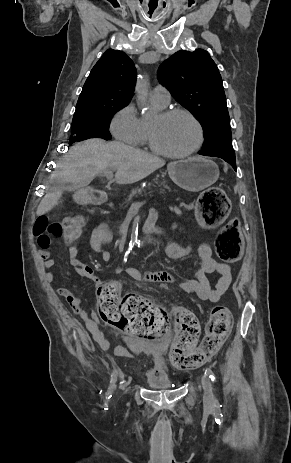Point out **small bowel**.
Returning <instances> with one entry per match:
<instances>
[{
  "label": "small bowel",
  "mask_w": 291,
  "mask_h": 463,
  "mask_svg": "<svg viewBox=\"0 0 291 463\" xmlns=\"http://www.w3.org/2000/svg\"><path fill=\"white\" fill-rule=\"evenodd\" d=\"M153 218V215L149 217V219ZM143 232H150L148 237L155 238L149 239V244H161V247L165 248L164 250L166 254L173 259H181L187 256L193 248L191 238H189L183 244H168L169 240L166 238L167 234L165 232H159V229L156 226H152L150 229L144 228ZM75 240L76 239L67 240V243L69 244L70 264L79 276L93 281L97 286L99 284V278L90 265L84 263L78 258V247L75 244ZM111 240L112 233L109 226L106 223H100L93 230L89 243L95 252L99 253L105 261H109L111 259V254L104 246ZM37 243L40 248V258L43 260V269L47 271L44 275V279L46 282L51 283L56 278V272L50 271L56 265V260L51 256L50 238L48 235L37 237ZM197 252L198 257L195 262L194 276L191 279L182 282L180 286L185 292L195 295L201 300L217 302L231 284V268L225 263L216 261L212 257L211 247L206 243L200 244ZM117 272L126 273L131 279L135 281L145 280L148 282L163 283L175 282L174 275L168 271L142 273L140 270L135 268L125 269L124 267L120 266L118 267ZM213 272H217L219 274V278L214 287L210 285V282L207 278V274ZM56 291L59 296L63 297L67 301L73 312L84 321L87 329L103 350L109 351L115 356L125 355L126 351L124 348H112L110 346L109 342L104 338L103 333L98 328L97 319L89 316L88 312L83 306L81 298L75 293L73 289L59 287Z\"/></svg>",
  "instance_id": "obj_1"
}]
</instances>
